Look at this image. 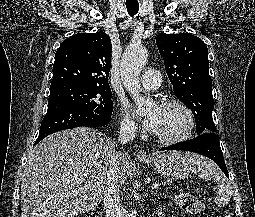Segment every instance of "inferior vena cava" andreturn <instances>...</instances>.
I'll return each mask as SVG.
<instances>
[{
  "mask_svg": "<svg viewBox=\"0 0 255 217\" xmlns=\"http://www.w3.org/2000/svg\"><path fill=\"white\" fill-rule=\"evenodd\" d=\"M135 138V130L132 127H122L119 142L126 144ZM119 154L113 145L110 149L108 169L104 187L105 217H119L121 203L119 197Z\"/></svg>",
  "mask_w": 255,
  "mask_h": 217,
  "instance_id": "602c4592",
  "label": "inferior vena cava"
}]
</instances>
